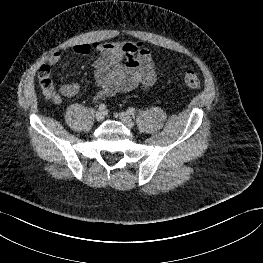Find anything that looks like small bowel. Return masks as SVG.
I'll use <instances>...</instances> for the list:
<instances>
[{"label":"small bowel","instance_id":"c3829d8e","mask_svg":"<svg viewBox=\"0 0 263 263\" xmlns=\"http://www.w3.org/2000/svg\"><path fill=\"white\" fill-rule=\"evenodd\" d=\"M91 51L98 53L93 63L94 78L99 87L95 100L137 89L146 91L161 75L150 50L142 42L81 43L72 48V52L78 56H86ZM66 54L67 49L56 51L50 56L49 64L56 65ZM79 91L76 83L63 84L53 95V101L59 104L64 97H73Z\"/></svg>","mask_w":263,"mask_h":263}]
</instances>
